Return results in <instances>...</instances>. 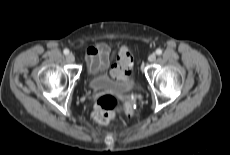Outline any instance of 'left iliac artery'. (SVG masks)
I'll list each match as a JSON object with an SVG mask.
<instances>
[{"mask_svg":"<svg viewBox=\"0 0 230 155\" xmlns=\"http://www.w3.org/2000/svg\"><path fill=\"white\" fill-rule=\"evenodd\" d=\"M156 54H157V55H161V54H162V50H161V49H157V50H156Z\"/></svg>","mask_w":230,"mask_h":155,"instance_id":"obj_1","label":"left iliac artery"}]
</instances>
